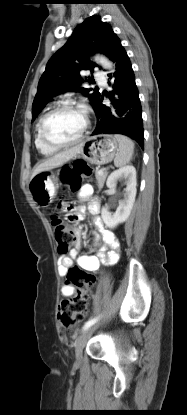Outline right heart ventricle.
Here are the masks:
<instances>
[{
	"instance_id": "e07e8e85",
	"label": "right heart ventricle",
	"mask_w": 187,
	"mask_h": 415,
	"mask_svg": "<svg viewBox=\"0 0 187 415\" xmlns=\"http://www.w3.org/2000/svg\"><path fill=\"white\" fill-rule=\"evenodd\" d=\"M40 121L41 119L38 121L36 125L35 146L41 154L46 155V156L53 155L54 153L58 151V148L50 147L41 140L40 135H39Z\"/></svg>"
}]
</instances>
